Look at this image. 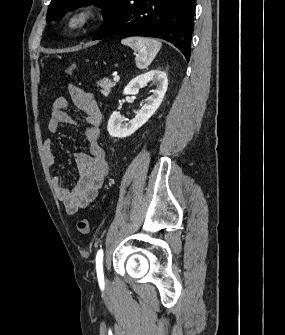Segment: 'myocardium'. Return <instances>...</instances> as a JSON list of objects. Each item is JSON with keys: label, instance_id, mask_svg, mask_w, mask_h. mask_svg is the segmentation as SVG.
I'll use <instances>...</instances> for the list:
<instances>
[{"label": "myocardium", "instance_id": "1", "mask_svg": "<svg viewBox=\"0 0 285 335\" xmlns=\"http://www.w3.org/2000/svg\"><path fill=\"white\" fill-rule=\"evenodd\" d=\"M92 12L89 9H85L77 13L73 20V26L74 27H83L85 26L92 18Z\"/></svg>", "mask_w": 285, "mask_h": 335}]
</instances>
